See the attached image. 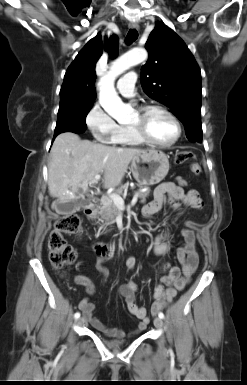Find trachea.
<instances>
[{
  "mask_svg": "<svg viewBox=\"0 0 247 385\" xmlns=\"http://www.w3.org/2000/svg\"><path fill=\"white\" fill-rule=\"evenodd\" d=\"M137 38L138 32L136 31V29H130L126 37V43L128 45L132 44L135 40H137Z\"/></svg>",
  "mask_w": 247,
  "mask_h": 385,
  "instance_id": "1",
  "label": "trachea"
}]
</instances>
